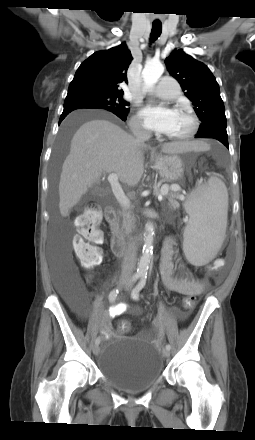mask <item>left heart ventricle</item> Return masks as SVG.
Instances as JSON below:
<instances>
[{
	"label": "left heart ventricle",
	"instance_id": "obj_1",
	"mask_svg": "<svg viewBox=\"0 0 255 440\" xmlns=\"http://www.w3.org/2000/svg\"><path fill=\"white\" fill-rule=\"evenodd\" d=\"M191 127V119L184 111H175V118L169 136H180L186 133Z\"/></svg>",
	"mask_w": 255,
	"mask_h": 440
}]
</instances>
